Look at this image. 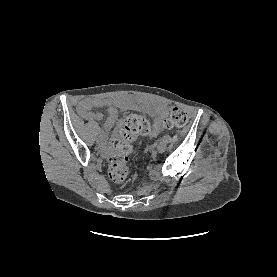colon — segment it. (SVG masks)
<instances>
[{
    "mask_svg": "<svg viewBox=\"0 0 277 277\" xmlns=\"http://www.w3.org/2000/svg\"><path fill=\"white\" fill-rule=\"evenodd\" d=\"M188 114L175 108L164 121V127L168 129L182 128L187 124ZM149 120L141 115L132 114L126 117L124 127L112 140L109 157V177L115 183H123L129 175V161L133 152V143L138 135L150 133Z\"/></svg>",
    "mask_w": 277,
    "mask_h": 277,
    "instance_id": "1",
    "label": "colon"
}]
</instances>
